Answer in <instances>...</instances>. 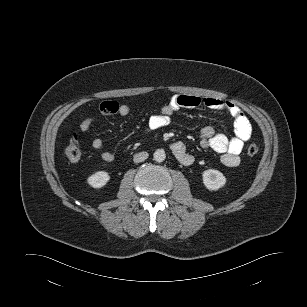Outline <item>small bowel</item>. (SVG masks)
<instances>
[{
    "mask_svg": "<svg viewBox=\"0 0 307 307\" xmlns=\"http://www.w3.org/2000/svg\"><path fill=\"white\" fill-rule=\"evenodd\" d=\"M205 106L212 110L225 111L234 119L233 138H228L223 133L216 132L212 127L206 126L200 132V145L202 148H210L221 154V161L225 166L236 167L240 163V153L244 143L249 140L252 133L251 124L245 113L236 104L230 101H224L212 97H198L195 95L180 94L173 96L168 104L164 105L160 112L150 116L148 120V128L157 130L167 126L174 112L181 108H195ZM100 111L103 115L119 114L127 116L130 114V106L127 104H119L115 101H104L100 104ZM94 123L93 117H87L81 121L79 129L81 132H87ZM94 150L100 153V157L105 162H112L114 155L104 150L103 141L96 138L92 141ZM171 150L178 161L183 165H190L194 157L187 150L185 144L176 141L171 145Z\"/></svg>",
    "mask_w": 307,
    "mask_h": 307,
    "instance_id": "c3829d8e",
    "label": "small bowel"
}]
</instances>
